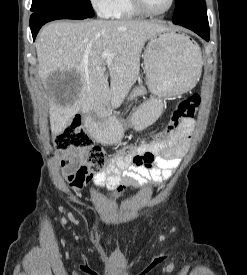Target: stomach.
<instances>
[{"instance_id": "stomach-1", "label": "stomach", "mask_w": 247, "mask_h": 275, "mask_svg": "<svg viewBox=\"0 0 247 275\" xmlns=\"http://www.w3.org/2000/svg\"><path fill=\"white\" fill-rule=\"evenodd\" d=\"M202 57L189 37L167 30L152 37L144 51L146 84L152 98L133 111L126 124L95 123L89 130L102 143L119 141L125 128L143 130L163 111V98L181 95L192 89L201 75Z\"/></svg>"}]
</instances>
